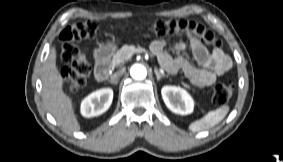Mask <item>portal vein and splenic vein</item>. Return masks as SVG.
<instances>
[{
  "label": "portal vein and splenic vein",
  "mask_w": 283,
  "mask_h": 162,
  "mask_svg": "<svg viewBox=\"0 0 283 162\" xmlns=\"http://www.w3.org/2000/svg\"><path fill=\"white\" fill-rule=\"evenodd\" d=\"M146 54H148V52L147 51H144Z\"/></svg>",
  "instance_id": "18ae733b"
}]
</instances>
